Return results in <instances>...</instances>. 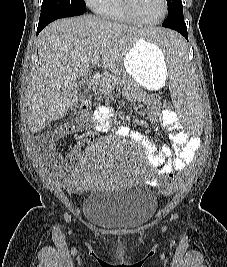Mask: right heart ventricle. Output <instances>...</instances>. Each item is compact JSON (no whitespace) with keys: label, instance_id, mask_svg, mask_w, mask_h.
<instances>
[{"label":"right heart ventricle","instance_id":"e07e8e85","mask_svg":"<svg viewBox=\"0 0 227 267\" xmlns=\"http://www.w3.org/2000/svg\"><path fill=\"white\" fill-rule=\"evenodd\" d=\"M100 14L106 19L116 22H133L122 10L120 0H110L108 5L100 12Z\"/></svg>","mask_w":227,"mask_h":267}]
</instances>
